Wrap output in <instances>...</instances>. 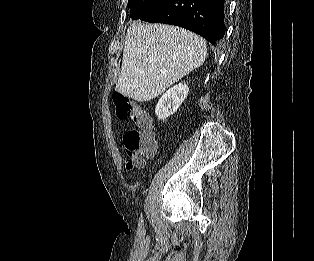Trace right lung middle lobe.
<instances>
[{"label": "right lung middle lobe", "mask_w": 314, "mask_h": 261, "mask_svg": "<svg viewBox=\"0 0 314 261\" xmlns=\"http://www.w3.org/2000/svg\"><path fill=\"white\" fill-rule=\"evenodd\" d=\"M167 0H128L130 16L133 20L142 19Z\"/></svg>", "instance_id": "right-lung-middle-lobe-1"}]
</instances>
